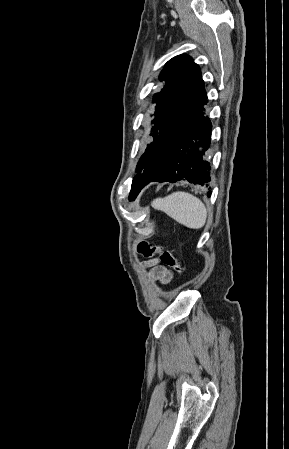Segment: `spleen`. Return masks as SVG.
Instances as JSON below:
<instances>
[{
	"instance_id": "obj_1",
	"label": "spleen",
	"mask_w": 289,
	"mask_h": 449,
	"mask_svg": "<svg viewBox=\"0 0 289 449\" xmlns=\"http://www.w3.org/2000/svg\"><path fill=\"white\" fill-rule=\"evenodd\" d=\"M152 207L191 229H200L206 223L205 205L199 198L187 192L177 191L165 198H157L153 200Z\"/></svg>"
}]
</instances>
